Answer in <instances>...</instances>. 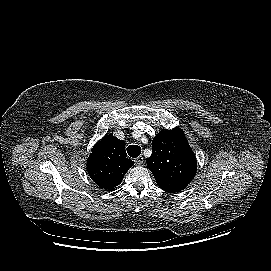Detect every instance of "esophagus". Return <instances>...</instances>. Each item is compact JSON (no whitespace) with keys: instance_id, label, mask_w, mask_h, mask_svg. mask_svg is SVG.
<instances>
[{"instance_id":"obj_1","label":"esophagus","mask_w":271,"mask_h":271,"mask_svg":"<svg viewBox=\"0 0 271 271\" xmlns=\"http://www.w3.org/2000/svg\"><path fill=\"white\" fill-rule=\"evenodd\" d=\"M134 161H135L136 165H141V164H143V157L139 156V157L135 158Z\"/></svg>"}]
</instances>
